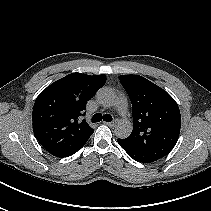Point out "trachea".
<instances>
[{
    "label": "trachea",
    "instance_id": "trachea-1",
    "mask_svg": "<svg viewBox=\"0 0 211 211\" xmlns=\"http://www.w3.org/2000/svg\"><path fill=\"white\" fill-rule=\"evenodd\" d=\"M101 120H104L106 122H111L112 121V116L109 114L102 115L100 113L94 114L92 117V122H100Z\"/></svg>",
    "mask_w": 211,
    "mask_h": 211
}]
</instances>
